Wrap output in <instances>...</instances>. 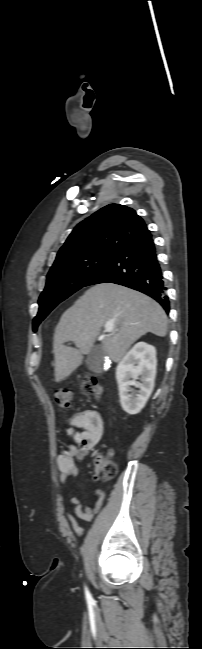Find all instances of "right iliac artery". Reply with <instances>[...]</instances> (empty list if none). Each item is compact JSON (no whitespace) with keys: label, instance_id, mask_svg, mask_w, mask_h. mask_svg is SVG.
<instances>
[{"label":"right iliac artery","instance_id":"right-iliac-artery-1","mask_svg":"<svg viewBox=\"0 0 202 649\" xmlns=\"http://www.w3.org/2000/svg\"><path fill=\"white\" fill-rule=\"evenodd\" d=\"M85 592H86V595H87V597H89V596H90V594H89V592H88V590H87V588L85 589Z\"/></svg>","mask_w":202,"mask_h":649}]
</instances>
